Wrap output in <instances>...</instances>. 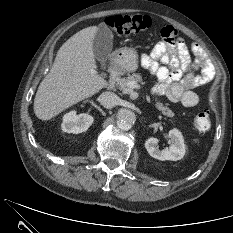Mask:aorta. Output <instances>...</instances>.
Returning <instances> with one entry per match:
<instances>
[{
	"mask_svg": "<svg viewBox=\"0 0 233 233\" xmlns=\"http://www.w3.org/2000/svg\"><path fill=\"white\" fill-rule=\"evenodd\" d=\"M135 113L129 109H120L117 114V125L122 130H129L135 122Z\"/></svg>",
	"mask_w": 233,
	"mask_h": 233,
	"instance_id": "obj_1",
	"label": "aorta"
}]
</instances>
